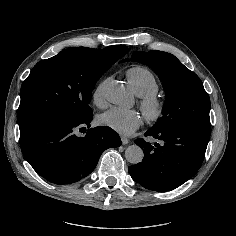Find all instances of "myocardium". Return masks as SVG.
Masks as SVG:
<instances>
[{
	"label": "myocardium",
	"mask_w": 236,
	"mask_h": 236,
	"mask_svg": "<svg viewBox=\"0 0 236 236\" xmlns=\"http://www.w3.org/2000/svg\"><path fill=\"white\" fill-rule=\"evenodd\" d=\"M140 107L149 123L158 122L165 113V103L157 96L143 98Z\"/></svg>",
	"instance_id": "f54148a6"
}]
</instances>
